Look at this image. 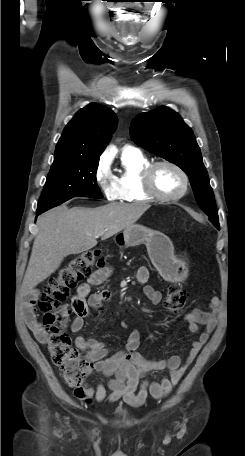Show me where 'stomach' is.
Returning <instances> with one entry per match:
<instances>
[{
	"label": "stomach",
	"mask_w": 245,
	"mask_h": 456,
	"mask_svg": "<svg viewBox=\"0 0 245 456\" xmlns=\"http://www.w3.org/2000/svg\"><path fill=\"white\" fill-rule=\"evenodd\" d=\"M114 240L120 247L145 244L153 265L166 280L175 282L185 277L186 263L174 254L172 243L163 233L133 224Z\"/></svg>",
	"instance_id": "0dacf381"
}]
</instances>
